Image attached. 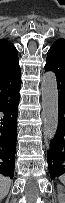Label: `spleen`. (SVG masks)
<instances>
[{
  "label": "spleen",
  "instance_id": "obj_1",
  "mask_svg": "<svg viewBox=\"0 0 65 203\" xmlns=\"http://www.w3.org/2000/svg\"><path fill=\"white\" fill-rule=\"evenodd\" d=\"M59 180H60L62 183H64V182H65V175H61V176L59 177Z\"/></svg>",
  "mask_w": 65,
  "mask_h": 203
}]
</instances>
